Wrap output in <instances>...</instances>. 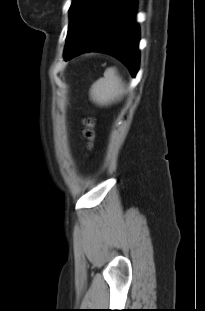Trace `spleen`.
<instances>
[{
  "mask_svg": "<svg viewBox=\"0 0 205 311\" xmlns=\"http://www.w3.org/2000/svg\"><path fill=\"white\" fill-rule=\"evenodd\" d=\"M122 81L115 68H108L104 77L98 79L90 89L91 98L100 105L113 101L122 90Z\"/></svg>",
  "mask_w": 205,
  "mask_h": 311,
  "instance_id": "3e777b00",
  "label": "spleen"
}]
</instances>
